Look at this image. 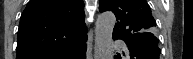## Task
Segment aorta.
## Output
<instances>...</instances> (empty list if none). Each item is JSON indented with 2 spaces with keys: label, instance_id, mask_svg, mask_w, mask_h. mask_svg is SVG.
I'll list each match as a JSON object with an SVG mask.
<instances>
[{
  "label": "aorta",
  "instance_id": "762f6f07",
  "mask_svg": "<svg viewBox=\"0 0 193 59\" xmlns=\"http://www.w3.org/2000/svg\"><path fill=\"white\" fill-rule=\"evenodd\" d=\"M116 17L112 12L100 14L95 27V59L112 58V33L115 26Z\"/></svg>",
  "mask_w": 193,
  "mask_h": 59
}]
</instances>
